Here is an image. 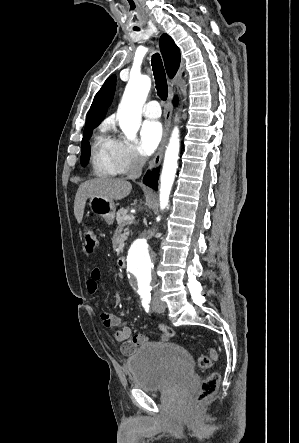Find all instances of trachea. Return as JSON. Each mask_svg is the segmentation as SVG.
Returning a JSON list of instances; mask_svg holds the SVG:
<instances>
[{
	"label": "trachea",
	"mask_w": 299,
	"mask_h": 443,
	"mask_svg": "<svg viewBox=\"0 0 299 443\" xmlns=\"http://www.w3.org/2000/svg\"><path fill=\"white\" fill-rule=\"evenodd\" d=\"M153 74L156 84L157 95L162 99L166 100L168 96V86L166 80V74L163 67V62L158 53H155L151 59Z\"/></svg>",
	"instance_id": "3493384b"
}]
</instances>
